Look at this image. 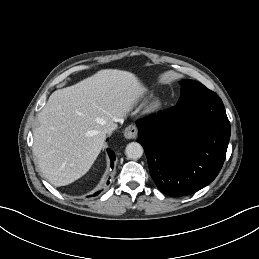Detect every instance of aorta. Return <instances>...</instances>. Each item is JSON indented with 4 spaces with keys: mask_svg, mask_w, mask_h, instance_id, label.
Listing matches in <instances>:
<instances>
[{
    "mask_svg": "<svg viewBox=\"0 0 259 259\" xmlns=\"http://www.w3.org/2000/svg\"><path fill=\"white\" fill-rule=\"evenodd\" d=\"M126 156L129 159H139L143 154V147L137 142H131L126 146Z\"/></svg>",
    "mask_w": 259,
    "mask_h": 259,
    "instance_id": "1",
    "label": "aorta"
}]
</instances>
